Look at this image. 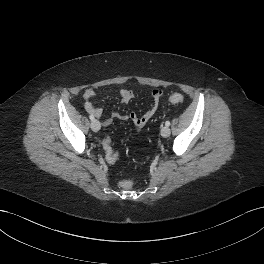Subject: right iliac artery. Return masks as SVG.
Segmentation results:
<instances>
[{"instance_id":"obj_1","label":"right iliac artery","mask_w":264,"mask_h":264,"mask_svg":"<svg viewBox=\"0 0 264 264\" xmlns=\"http://www.w3.org/2000/svg\"><path fill=\"white\" fill-rule=\"evenodd\" d=\"M89 118H90L91 121L95 120L93 115H90Z\"/></svg>"}]
</instances>
